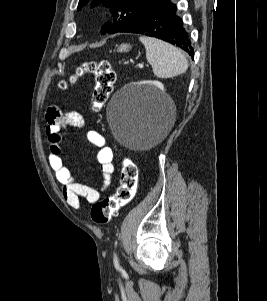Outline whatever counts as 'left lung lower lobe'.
Here are the masks:
<instances>
[{
  "label": "left lung lower lobe",
  "mask_w": 267,
  "mask_h": 301,
  "mask_svg": "<svg viewBox=\"0 0 267 301\" xmlns=\"http://www.w3.org/2000/svg\"><path fill=\"white\" fill-rule=\"evenodd\" d=\"M118 32L156 37L180 47L192 58L194 55L188 33L183 27L182 20L177 16V8L171 0H160Z\"/></svg>",
  "instance_id": "0a47b994"
}]
</instances>
